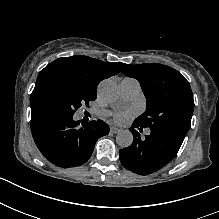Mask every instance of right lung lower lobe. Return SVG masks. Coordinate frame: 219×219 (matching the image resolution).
<instances>
[{
    "label": "right lung lower lobe",
    "mask_w": 219,
    "mask_h": 219,
    "mask_svg": "<svg viewBox=\"0 0 219 219\" xmlns=\"http://www.w3.org/2000/svg\"><path fill=\"white\" fill-rule=\"evenodd\" d=\"M31 131L46 159L59 167L69 168L88 161L96 141L108 134L109 126L102 120L85 124L75 121L73 115L51 106H33Z\"/></svg>",
    "instance_id": "1"
}]
</instances>
